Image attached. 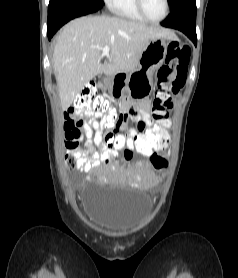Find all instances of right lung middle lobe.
I'll list each match as a JSON object with an SVG mask.
<instances>
[{
  "mask_svg": "<svg viewBox=\"0 0 238 278\" xmlns=\"http://www.w3.org/2000/svg\"><path fill=\"white\" fill-rule=\"evenodd\" d=\"M84 1H87L89 3H92V4L100 6V7L103 6V1L102 0H84Z\"/></svg>",
  "mask_w": 238,
  "mask_h": 278,
  "instance_id": "1",
  "label": "right lung middle lobe"
}]
</instances>
